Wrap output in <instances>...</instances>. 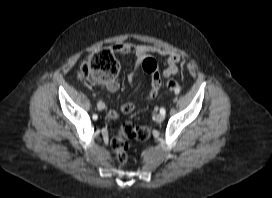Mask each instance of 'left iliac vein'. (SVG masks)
Segmentation results:
<instances>
[{
	"label": "left iliac vein",
	"mask_w": 272,
	"mask_h": 198,
	"mask_svg": "<svg viewBox=\"0 0 272 198\" xmlns=\"http://www.w3.org/2000/svg\"><path fill=\"white\" fill-rule=\"evenodd\" d=\"M164 118H165V115H163V114H157L156 116H155V121L157 122V123H161L163 120H164Z\"/></svg>",
	"instance_id": "1"
}]
</instances>
